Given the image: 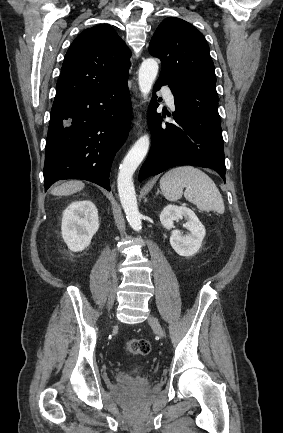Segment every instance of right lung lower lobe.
Masks as SVG:
<instances>
[{
	"mask_svg": "<svg viewBox=\"0 0 283 433\" xmlns=\"http://www.w3.org/2000/svg\"><path fill=\"white\" fill-rule=\"evenodd\" d=\"M127 80L54 100L45 147V191L61 179L88 180L110 191L111 164L128 136L132 116Z\"/></svg>",
	"mask_w": 283,
	"mask_h": 433,
	"instance_id": "98d812e1",
	"label": "right lung lower lobe"
}]
</instances>
